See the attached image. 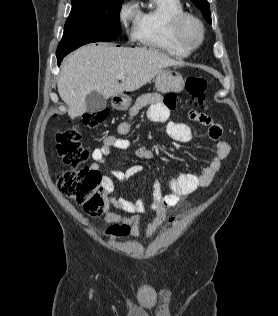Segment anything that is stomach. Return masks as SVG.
I'll return each mask as SVG.
<instances>
[{
	"mask_svg": "<svg viewBox=\"0 0 278 316\" xmlns=\"http://www.w3.org/2000/svg\"><path fill=\"white\" fill-rule=\"evenodd\" d=\"M155 86L161 93L180 92L184 87V80L180 73L162 70L156 75ZM131 98L124 94L112 97L111 104L114 109L126 110L131 105Z\"/></svg>",
	"mask_w": 278,
	"mask_h": 316,
	"instance_id": "1",
	"label": "stomach"
}]
</instances>
